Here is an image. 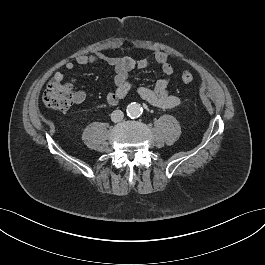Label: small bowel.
Segmentation results:
<instances>
[{
    "instance_id": "obj_1",
    "label": "small bowel",
    "mask_w": 265,
    "mask_h": 265,
    "mask_svg": "<svg viewBox=\"0 0 265 265\" xmlns=\"http://www.w3.org/2000/svg\"><path fill=\"white\" fill-rule=\"evenodd\" d=\"M98 62L106 63L115 70V90L109 92L106 97L109 105H116L131 91L132 87L128 82L131 71L147 68L153 63L160 66L165 77L157 80L153 88L140 86L136 87L134 92L147 103L158 108H174L180 104V98L169 92L170 79L175 70L165 52L155 51L141 58H134L128 55L115 57L100 51H94L90 54L77 56L75 62H65L64 67L68 71H73L76 65L84 66ZM53 77L63 80L61 72H55ZM85 98L84 91L79 90L74 93L75 104H81Z\"/></svg>"
}]
</instances>
